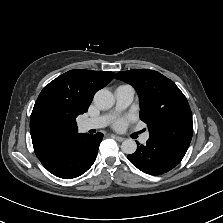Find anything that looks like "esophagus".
<instances>
[{"label": "esophagus", "mask_w": 223, "mask_h": 223, "mask_svg": "<svg viewBox=\"0 0 223 223\" xmlns=\"http://www.w3.org/2000/svg\"><path fill=\"white\" fill-rule=\"evenodd\" d=\"M114 138H115V140L118 141V142H122V141H124V139H125V138L120 137V136H115Z\"/></svg>", "instance_id": "34e87169"}]
</instances>
